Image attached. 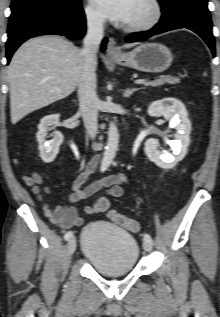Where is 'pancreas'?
Masks as SVG:
<instances>
[{
  "label": "pancreas",
  "instance_id": "cf45deb5",
  "mask_svg": "<svg viewBox=\"0 0 220 317\" xmlns=\"http://www.w3.org/2000/svg\"><path fill=\"white\" fill-rule=\"evenodd\" d=\"M180 79L178 77H172V76H160L159 79H156L154 81H150L145 83L146 86H161L164 85L165 83H170V84H176L179 83Z\"/></svg>",
  "mask_w": 220,
  "mask_h": 317
}]
</instances>
